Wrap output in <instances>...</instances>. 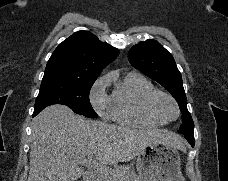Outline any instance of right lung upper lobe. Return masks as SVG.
<instances>
[{
	"instance_id": "right-lung-upper-lobe-1",
	"label": "right lung upper lobe",
	"mask_w": 228,
	"mask_h": 181,
	"mask_svg": "<svg viewBox=\"0 0 228 181\" xmlns=\"http://www.w3.org/2000/svg\"><path fill=\"white\" fill-rule=\"evenodd\" d=\"M119 50L101 42L88 31H78L64 40L51 55L43 78L73 81L96 80Z\"/></svg>"
}]
</instances>
